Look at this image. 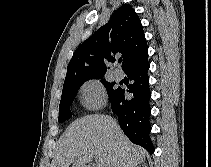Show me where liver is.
Returning a JSON list of instances; mask_svg holds the SVG:
<instances>
[{
	"instance_id": "obj_1",
	"label": "liver",
	"mask_w": 211,
	"mask_h": 167,
	"mask_svg": "<svg viewBox=\"0 0 211 167\" xmlns=\"http://www.w3.org/2000/svg\"><path fill=\"white\" fill-rule=\"evenodd\" d=\"M146 155L113 118L88 115L72 122L60 137L51 167H85L94 156L101 157L105 167H136Z\"/></svg>"
}]
</instances>
